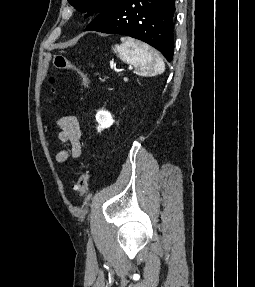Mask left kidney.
Segmentation results:
<instances>
[{
    "mask_svg": "<svg viewBox=\"0 0 255 287\" xmlns=\"http://www.w3.org/2000/svg\"><path fill=\"white\" fill-rule=\"evenodd\" d=\"M95 118L99 124L97 128L98 132H101V130H104V128H110L114 122L111 114H109V112H105V110H99Z\"/></svg>",
    "mask_w": 255,
    "mask_h": 287,
    "instance_id": "5707ae66",
    "label": "left kidney"
}]
</instances>
